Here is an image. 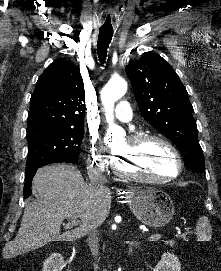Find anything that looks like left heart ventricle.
Instances as JSON below:
<instances>
[{
    "label": "left heart ventricle",
    "mask_w": 221,
    "mask_h": 271,
    "mask_svg": "<svg viewBox=\"0 0 221 271\" xmlns=\"http://www.w3.org/2000/svg\"><path fill=\"white\" fill-rule=\"evenodd\" d=\"M156 141L161 140L148 138L137 141L138 156H122V160H114V165L120 168L122 175L177 177L176 165H173L172 161L174 153H169L171 147H162V144H156Z\"/></svg>",
    "instance_id": "1"
}]
</instances>
